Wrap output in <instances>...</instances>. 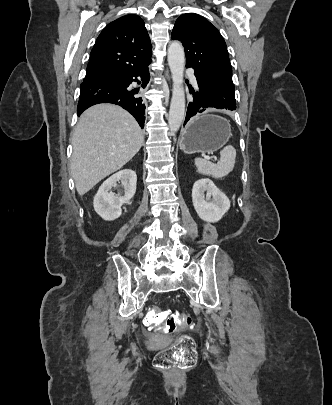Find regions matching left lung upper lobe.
<instances>
[{
  "label": "left lung upper lobe",
  "mask_w": 332,
  "mask_h": 405,
  "mask_svg": "<svg viewBox=\"0 0 332 405\" xmlns=\"http://www.w3.org/2000/svg\"><path fill=\"white\" fill-rule=\"evenodd\" d=\"M171 38L182 42L186 67L194 69L198 87L208 95L210 103L235 110L232 68L219 31L204 17L187 13L178 17Z\"/></svg>",
  "instance_id": "5c2ea615"
}]
</instances>
